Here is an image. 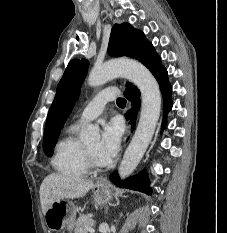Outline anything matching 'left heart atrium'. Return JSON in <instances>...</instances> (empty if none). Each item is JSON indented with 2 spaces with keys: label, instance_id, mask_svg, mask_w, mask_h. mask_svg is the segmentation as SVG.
I'll return each instance as SVG.
<instances>
[{
  "label": "left heart atrium",
  "instance_id": "obj_1",
  "mask_svg": "<svg viewBox=\"0 0 227 233\" xmlns=\"http://www.w3.org/2000/svg\"><path fill=\"white\" fill-rule=\"evenodd\" d=\"M121 127L116 122L103 126L101 142L97 150V158L102 164H107L116 156L121 142Z\"/></svg>",
  "mask_w": 227,
  "mask_h": 233
}]
</instances>
